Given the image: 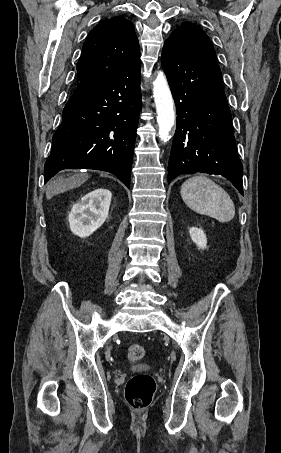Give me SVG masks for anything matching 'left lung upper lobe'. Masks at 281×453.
<instances>
[{
	"label": "left lung upper lobe",
	"mask_w": 281,
	"mask_h": 453,
	"mask_svg": "<svg viewBox=\"0 0 281 453\" xmlns=\"http://www.w3.org/2000/svg\"><path fill=\"white\" fill-rule=\"evenodd\" d=\"M172 42L185 53L193 55H215L207 34L197 25L184 22L166 40Z\"/></svg>",
	"instance_id": "1"
}]
</instances>
